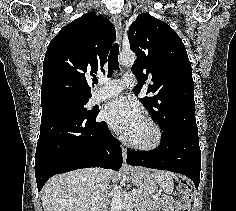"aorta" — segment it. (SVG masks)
Wrapping results in <instances>:
<instances>
[{
  "label": "aorta",
  "mask_w": 236,
  "mask_h": 211,
  "mask_svg": "<svg viewBox=\"0 0 236 211\" xmlns=\"http://www.w3.org/2000/svg\"><path fill=\"white\" fill-rule=\"evenodd\" d=\"M136 60V55L132 51L122 52L119 56V61L125 66H131ZM123 207V200L120 189H118L113 195L111 201L110 211H121Z\"/></svg>",
  "instance_id": "762f6f07"
}]
</instances>
